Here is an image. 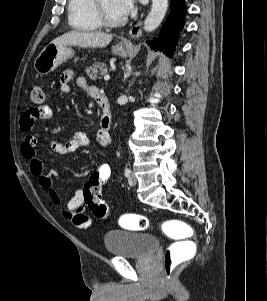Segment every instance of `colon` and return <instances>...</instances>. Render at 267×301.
Returning a JSON list of instances; mask_svg holds the SVG:
<instances>
[{
    "label": "colon",
    "instance_id": "5ec220e1",
    "mask_svg": "<svg viewBox=\"0 0 267 301\" xmlns=\"http://www.w3.org/2000/svg\"><path fill=\"white\" fill-rule=\"evenodd\" d=\"M30 98L34 104L41 105L45 99L42 88L31 87ZM111 174L110 165L102 164L92 173L83 189L85 204L94 216L100 219L109 216L108 205L102 196V187L110 180ZM121 224L132 230L143 231L148 228L149 220L141 214H125L121 217ZM162 230L168 237L176 240L166 248L164 253L165 275L170 279L180 265L194 256L196 245L192 240V228L182 220H167L162 224Z\"/></svg>",
    "mask_w": 267,
    "mask_h": 301
}]
</instances>
